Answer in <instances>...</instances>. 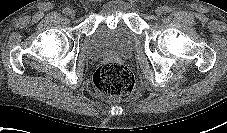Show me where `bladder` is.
I'll list each match as a JSON object with an SVG mask.
<instances>
[{
    "mask_svg": "<svg viewBox=\"0 0 227 133\" xmlns=\"http://www.w3.org/2000/svg\"><path fill=\"white\" fill-rule=\"evenodd\" d=\"M129 0H109L103 6V20L90 35L86 47L87 55L98 58L106 55L126 56L131 53L135 35L126 24V16L133 10ZM116 15L119 19L114 27L109 26L108 18Z\"/></svg>",
    "mask_w": 227,
    "mask_h": 133,
    "instance_id": "obj_1",
    "label": "bladder"
}]
</instances>
